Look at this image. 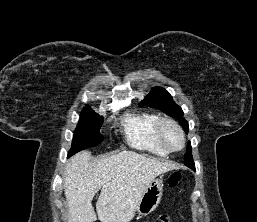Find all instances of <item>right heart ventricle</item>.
<instances>
[{"instance_id": "obj_1", "label": "right heart ventricle", "mask_w": 257, "mask_h": 222, "mask_svg": "<svg viewBox=\"0 0 257 222\" xmlns=\"http://www.w3.org/2000/svg\"><path fill=\"white\" fill-rule=\"evenodd\" d=\"M160 118L150 112L127 115L123 120V129L127 140L135 147L150 153L165 156L163 148L156 136V128Z\"/></svg>"}]
</instances>
